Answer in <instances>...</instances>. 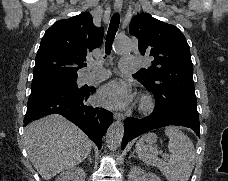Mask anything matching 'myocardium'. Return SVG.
Listing matches in <instances>:
<instances>
[{
    "label": "myocardium",
    "instance_id": "1",
    "mask_svg": "<svg viewBox=\"0 0 228 181\" xmlns=\"http://www.w3.org/2000/svg\"><path fill=\"white\" fill-rule=\"evenodd\" d=\"M154 108V100L150 96H143L140 99V109L145 112H150Z\"/></svg>",
    "mask_w": 228,
    "mask_h": 181
}]
</instances>
